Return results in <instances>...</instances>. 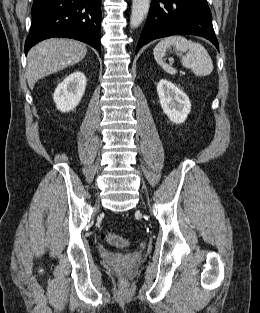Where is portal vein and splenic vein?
<instances>
[{"label":"portal vein and splenic vein","instance_id":"portal-vein-and-splenic-vein-1","mask_svg":"<svg viewBox=\"0 0 260 313\" xmlns=\"http://www.w3.org/2000/svg\"><path fill=\"white\" fill-rule=\"evenodd\" d=\"M181 74H182V75H185V72H184V71H182V72H181Z\"/></svg>","mask_w":260,"mask_h":313}]
</instances>
